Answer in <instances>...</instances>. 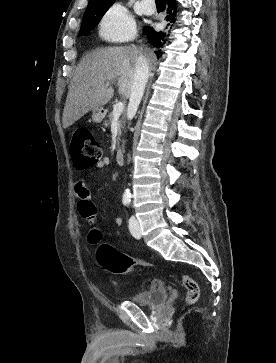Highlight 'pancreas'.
I'll use <instances>...</instances> for the list:
<instances>
[{
    "label": "pancreas",
    "mask_w": 276,
    "mask_h": 363,
    "mask_svg": "<svg viewBox=\"0 0 276 363\" xmlns=\"http://www.w3.org/2000/svg\"><path fill=\"white\" fill-rule=\"evenodd\" d=\"M113 119H114L113 113H110V114L108 115V120H106V121L104 122L105 127L110 126V125L112 124ZM124 124H125V120H124V118H121V119H119V120L117 121V126H118V138H117V145H118V147H119V140H120V137H119V136H121V134H122V129H123V127H124Z\"/></svg>",
    "instance_id": "obj_1"
}]
</instances>
